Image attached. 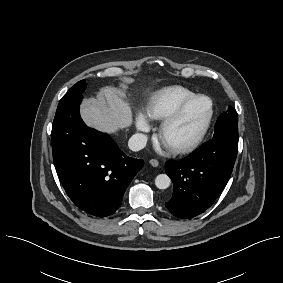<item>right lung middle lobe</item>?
Here are the masks:
<instances>
[{
  "label": "right lung middle lobe",
  "mask_w": 283,
  "mask_h": 283,
  "mask_svg": "<svg viewBox=\"0 0 283 283\" xmlns=\"http://www.w3.org/2000/svg\"><path fill=\"white\" fill-rule=\"evenodd\" d=\"M85 87H86L85 80L79 81L62 97L60 103L81 95Z\"/></svg>",
  "instance_id": "obj_1"
}]
</instances>
